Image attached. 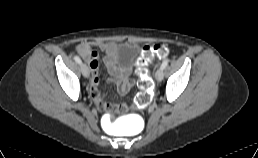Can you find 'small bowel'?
<instances>
[{"label": "small bowel", "mask_w": 258, "mask_h": 158, "mask_svg": "<svg viewBox=\"0 0 258 158\" xmlns=\"http://www.w3.org/2000/svg\"><path fill=\"white\" fill-rule=\"evenodd\" d=\"M94 48H98L105 53L104 64L109 74L108 80L116 84L121 95L128 93L134 84V78L132 77L131 68L129 66L124 68L116 66L117 45L115 43L106 41H83L77 45L78 53L88 63L92 72L91 83L89 86L90 97L98 108L106 109L108 108V104L105 101V97L98 90V85L100 83V58L98 52L95 51Z\"/></svg>", "instance_id": "1"}]
</instances>
